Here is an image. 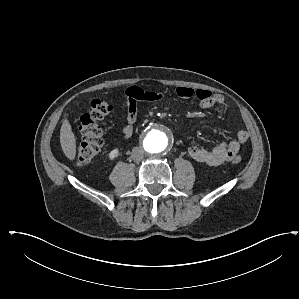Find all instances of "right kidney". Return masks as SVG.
I'll return each instance as SVG.
<instances>
[{
    "instance_id": "1",
    "label": "right kidney",
    "mask_w": 299,
    "mask_h": 299,
    "mask_svg": "<svg viewBox=\"0 0 299 299\" xmlns=\"http://www.w3.org/2000/svg\"><path fill=\"white\" fill-rule=\"evenodd\" d=\"M119 156V150L116 148V149H113L110 153H109V159L110 160H114L116 157Z\"/></svg>"
}]
</instances>
